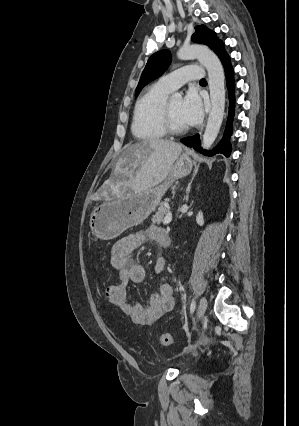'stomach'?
<instances>
[{"label":"stomach","mask_w":299,"mask_h":426,"mask_svg":"<svg viewBox=\"0 0 299 426\" xmlns=\"http://www.w3.org/2000/svg\"><path fill=\"white\" fill-rule=\"evenodd\" d=\"M192 165L189 155L182 154L162 184L141 192L130 191L95 207L89 221L92 234L99 239L110 240L142 223L156 209L172 183L191 172Z\"/></svg>","instance_id":"obj_1"}]
</instances>
